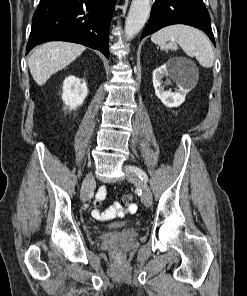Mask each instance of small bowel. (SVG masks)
I'll use <instances>...</instances> for the list:
<instances>
[{
    "instance_id": "obj_1",
    "label": "small bowel",
    "mask_w": 247,
    "mask_h": 296,
    "mask_svg": "<svg viewBox=\"0 0 247 296\" xmlns=\"http://www.w3.org/2000/svg\"><path fill=\"white\" fill-rule=\"evenodd\" d=\"M106 195V188L105 187H101L98 191V199H103ZM117 202L114 204V206L106 211H100L97 207L96 209L94 210V216L96 219L98 220H102V219H105L107 218V214L110 213L112 211L113 208H115L117 206ZM134 208L137 209V206L136 205H133Z\"/></svg>"
}]
</instances>
